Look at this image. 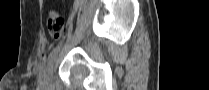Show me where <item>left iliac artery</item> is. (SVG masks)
I'll list each match as a JSON object with an SVG mask.
<instances>
[{
	"label": "left iliac artery",
	"instance_id": "1",
	"mask_svg": "<svg viewBox=\"0 0 209 90\" xmlns=\"http://www.w3.org/2000/svg\"><path fill=\"white\" fill-rule=\"evenodd\" d=\"M60 48H61V46L57 45L56 47H54L52 49V51L50 52V54L48 55V58H47L48 63H50L57 56V54L60 51Z\"/></svg>",
	"mask_w": 209,
	"mask_h": 90
}]
</instances>
